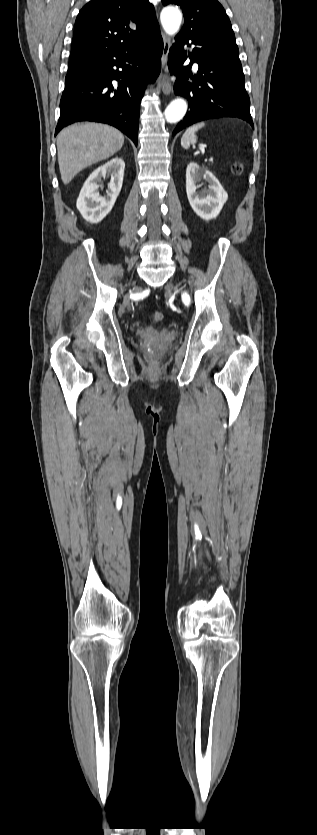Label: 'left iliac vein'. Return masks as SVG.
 Wrapping results in <instances>:
<instances>
[{"mask_svg":"<svg viewBox=\"0 0 317 835\" xmlns=\"http://www.w3.org/2000/svg\"><path fill=\"white\" fill-rule=\"evenodd\" d=\"M166 289H167L168 291H171V290H173V286H172L171 284H167V285H166Z\"/></svg>","mask_w":317,"mask_h":835,"instance_id":"obj_1","label":"left iliac vein"}]
</instances>
